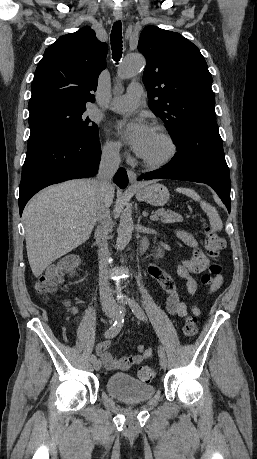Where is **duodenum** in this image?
<instances>
[{
	"label": "duodenum",
	"instance_id": "obj_1",
	"mask_svg": "<svg viewBox=\"0 0 257 459\" xmlns=\"http://www.w3.org/2000/svg\"><path fill=\"white\" fill-rule=\"evenodd\" d=\"M146 249H147V242L144 241L140 245V253H144L146 251Z\"/></svg>",
	"mask_w": 257,
	"mask_h": 459
}]
</instances>
